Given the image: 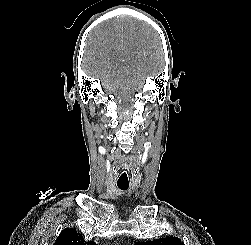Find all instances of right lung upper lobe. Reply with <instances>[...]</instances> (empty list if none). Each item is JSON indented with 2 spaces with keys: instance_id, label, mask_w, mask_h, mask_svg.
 <instances>
[{
  "instance_id": "cb5924a9",
  "label": "right lung upper lobe",
  "mask_w": 251,
  "mask_h": 245,
  "mask_svg": "<svg viewBox=\"0 0 251 245\" xmlns=\"http://www.w3.org/2000/svg\"><path fill=\"white\" fill-rule=\"evenodd\" d=\"M53 245H96L93 242H86L75 228L64 229Z\"/></svg>"
}]
</instances>
